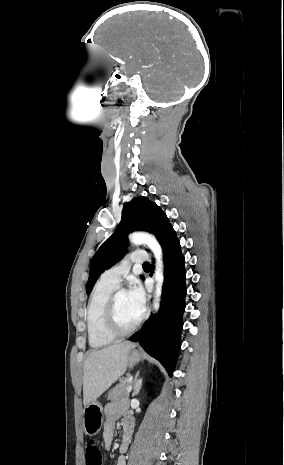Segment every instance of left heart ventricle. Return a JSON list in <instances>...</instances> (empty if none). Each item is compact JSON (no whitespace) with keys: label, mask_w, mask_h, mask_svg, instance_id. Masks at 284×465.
<instances>
[{"label":"left heart ventricle","mask_w":284,"mask_h":465,"mask_svg":"<svg viewBox=\"0 0 284 465\" xmlns=\"http://www.w3.org/2000/svg\"><path fill=\"white\" fill-rule=\"evenodd\" d=\"M117 314V325L120 331H128L131 329L141 316V313L136 311L131 305L128 295L125 292H120L117 296Z\"/></svg>","instance_id":"left-heart-ventricle-1"}]
</instances>
